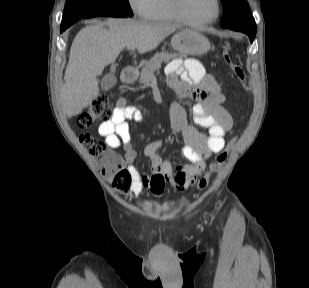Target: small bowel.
<instances>
[{
  "mask_svg": "<svg viewBox=\"0 0 309 288\" xmlns=\"http://www.w3.org/2000/svg\"><path fill=\"white\" fill-rule=\"evenodd\" d=\"M167 73L169 86L181 98L194 100V122L208 129V136L202 135L189 124L185 107L177 102L173 107V127L182 136V154L188 163L173 167L156 153L161 142L152 141L145 147L144 152L152 160L154 173L151 176L143 175L133 165L136 151L131 142L127 121L132 119L142 122L145 117L139 109L127 105L124 98H119L111 118L99 126L98 133L110 148L122 147L125 152V159L129 163L128 170L132 176V185L127 194L129 198L147 192L159 197L164 193L169 179L181 191L194 185L205 171L206 159L224 149L225 136L233 125L231 116L222 106L223 94L219 86L205 73L200 62L195 59L175 60L168 65Z\"/></svg>",
  "mask_w": 309,
  "mask_h": 288,
  "instance_id": "1",
  "label": "small bowel"
}]
</instances>
